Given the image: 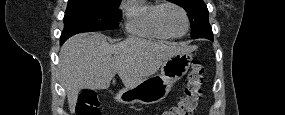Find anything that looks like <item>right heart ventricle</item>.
<instances>
[{
	"instance_id": "1",
	"label": "right heart ventricle",
	"mask_w": 285,
	"mask_h": 115,
	"mask_svg": "<svg viewBox=\"0 0 285 115\" xmlns=\"http://www.w3.org/2000/svg\"><path fill=\"white\" fill-rule=\"evenodd\" d=\"M161 5L153 1H130L125 10L126 30L134 35L161 40L172 38L158 22V11Z\"/></svg>"
}]
</instances>
